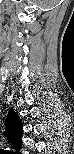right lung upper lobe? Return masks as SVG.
Here are the masks:
<instances>
[{"instance_id": "cb5924a9", "label": "right lung upper lobe", "mask_w": 74, "mask_h": 154, "mask_svg": "<svg viewBox=\"0 0 74 154\" xmlns=\"http://www.w3.org/2000/svg\"><path fill=\"white\" fill-rule=\"evenodd\" d=\"M7 123L13 130H17V132L22 131V122L20 117L13 111V109H10L8 117H7ZM21 129V130H20Z\"/></svg>"}]
</instances>
